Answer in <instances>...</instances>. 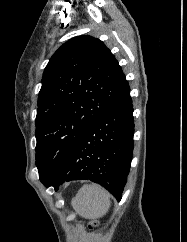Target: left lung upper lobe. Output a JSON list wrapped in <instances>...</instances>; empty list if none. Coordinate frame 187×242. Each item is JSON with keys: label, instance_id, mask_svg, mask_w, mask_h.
<instances>
[{"label": "left lung upper lobe", "instance_id": "obj_1", "mask_svg": "<svg viewBox=\"0 0 187 242\" xmlns=\"http://www.w3.org/2000/svg\"><path fill=\"white\" fill-rule=\"evenodd\" d=\"M130 90L102 41L77 36L50 58L42 77L36 116L39 177L54 171L89 126Z\"/></svg>", "mask_w": 187, "mask_h": 242}]
</instances>
